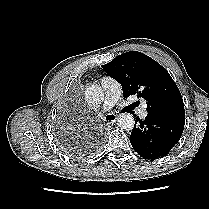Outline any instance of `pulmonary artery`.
I'll use <instances>...</instances> for the list:
<instances>
[{
    "instance_id": "obj_1",
    "label": "pulmonary artery",
    "mask_w": 209,
    "mask_h": 209,
    "mask_svg": "<svg viewBox=\"0 0 209 209\" xmlns=\"http://www.w3.org/2000/svg\"><path fill=\"white\" fill-rule=\"evenodd\" d=\"M101 86L105 92V99L103 102V111L111 109L115 103L118 101L121 95L120 84L111 77H103L101 79ZM139 116L145 118L147 116V110L145 105H143L139 110Z\"/></svg>"
}]
</instances>
